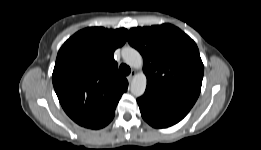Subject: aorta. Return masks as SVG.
<instances>
[{"label": "aorta", "instance_id": "obj_1", "mask_svg": "<svg viewBox=\"0 0 261 150\" xmlns=\"http://www.w3.org/2000/svg\"><path fill=\"white\" fill-rule=\"evenodd\" d=\"M122 57L124 62L132 67V68H141L143 65V58L141 54L132 47H126L122 50ZM147 85V78L145 74L139 73L135 75L132 79L130 90L131 93L136 96L140 97L144 94Z\"/></svg>", "mask_w": 261, "mask_h": 150}]
</instances>
